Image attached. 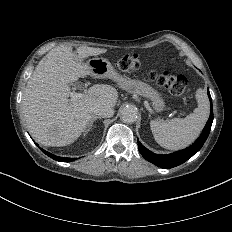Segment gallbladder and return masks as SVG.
<instances>
[{
	"mask_svg": "<svg viewBox=\"0 0 232 232\" xmlns=\"http://www.w3.org/2000/svg\"><path fill=\"white\" fill-rule=\"evenodd\" d=\"M71 87L80 91H83L85 89V85L83 83H80L79 81L73 82L71 84Z\"/></svg>",
	"mask_w": 232,
	"mask_h": 232,
	"instance_id": "gallbladder-1",
	"label": "gallbladder"
}]
</instances>
